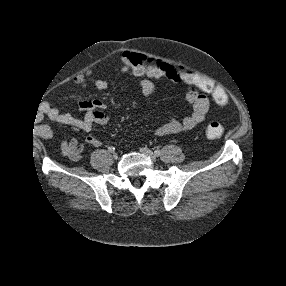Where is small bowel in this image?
Here are the masks:
<instances>
[{
	"instance_id": "small-bowel-1",
	"label": "small bowel",
	"mask_w": 286,
	"mask_h": 286,
	"mask_svg": "<svg viewBox=\"0 0 286 286\" xmlns=\"http://www.w3.org/2000/svg\"><path fill=\"white\" fill-rule=\"evenodd\" d=\"M166 65L169 67L170 76L168 79L174 82L184 83L187 86L186 101L191 108V113L182 120L172 118L161 125L156 130L158 136H166L191 130L205 119L209 109V99L197 90L198 87H196L194 83L182 78L184 75V72H182L183 69L174 65ZM95 86L99 90H104L108 84L106 80L99 78L95 81ZM139 86L144 95H151L156 88L155 83L147 77L140 78ZM79 107L85 112L82 118L74 117L68 113H62L55 107H51L47 115L52 121L60 125L71 126L83 131H90L94 125L102 126L108 123V116L104 111L105 105L101 100H82L79 102ZM42 132L46 137H50L53 134V130L49 126H44ZM86 143L94 147L101 145L100 139L93 135L86 137ZM60 150L63 156L76 162L81 159L84 146L75 138H70L60 144Z\"/></svg>"
}]
</instances>
